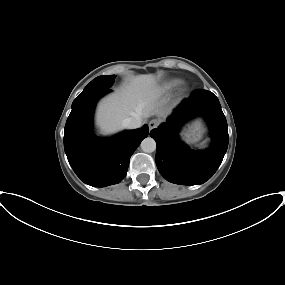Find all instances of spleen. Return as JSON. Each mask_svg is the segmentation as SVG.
<instances>
[{"mask_svg":"<svg viewBox=\"0 0 285 285\" xmlns=\"http://www.w3.org/2000/svg\"><path fill=\"white\" fill-rule=\"evenodd\" d=\"M199 147H200V148L204 147V143L200 144Z\"/></svg>","mask_w":285,"mask_h":285,"instance_id":"1","label":"spleen"}]
</instances>
